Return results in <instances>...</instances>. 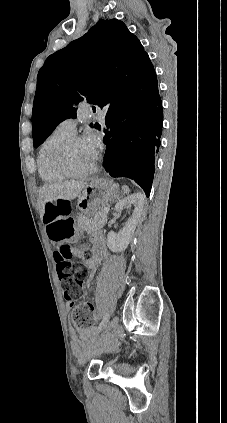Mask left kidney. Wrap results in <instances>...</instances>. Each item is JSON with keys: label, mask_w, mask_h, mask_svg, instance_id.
<instances>
[{"label": "left kidney", "mask_w": 227, "mask_h": 423, "mask_svg": "<svg viewBox=\"0 0 227 423\" xmlns=\"http://www.w3.org/2000/svg\"><path fill=\"white\" fill-rule=\"evenodd\" d=\"M131 206H134V210L127 221H125L124 227H122L118 233L109 231L107 235V245L111 251H124L128 243H130L132 233H134L143 211V194H132V196H128V198H124V200H119L115 206V210L121 211L124 210V208H131Z\"/></svg>", "instance_id": "1"}]
</instances>
